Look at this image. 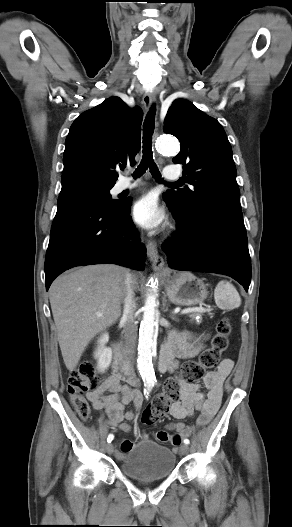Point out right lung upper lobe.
<instances>
[{
  "label": "right lung upper lobe",
  "mask_w": 292,
  "mask_h": 527,
  "mask_svg": "<svg viewBox=\"0 0 292 527\" xmlns=\"http://www.w3.org/2000/svg\"><path fill=\"white\" fill-rule=\"evenodd\" d=\"M141 122V109H130L119 97L83 112L65 141L62 182L83 177L115 184L118 163L135 164Z\"/></svg>",
  "instance_id": "right-lung-upper-lobe-1"
}]
</instances>
